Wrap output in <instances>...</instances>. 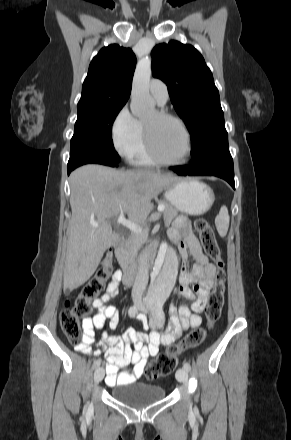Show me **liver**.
<instances>
[{"instance_id": "obj_1", "label": "liver", "mask_w": 291, "mask_h": 440, "mask_svg": "<svg viewBox=\"0 0 291 440\" xmlns=\"http://www.w3.org/2000/svg\"><path fill=\"white\" fill-rule=\"evenodd\" d=\"M179 179L151 170L118 171L96 164L72 172L64 290L88 281L106 249L118 240L110 219L123 212L129 221L144 222L153 209L152 199Z\"/></svg>"}]
</instances>
